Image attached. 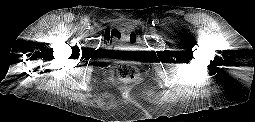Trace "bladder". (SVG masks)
I'll return each mask as SVG.
<instances>
[{
    "mask_svg": "<svg viewBox=\"0 0 255 122\" xmlns=\"http://www.w3.org/2000/svg\"><path fill=\"white\" fill-rule=\"evenodd\" d=\"M111 39H113L115 43H128L135 45L137 43V34L132 27L126 25L116 28L114 30V34L111 36Z\"/></svg>",
    "mask_w": 255,
    "mask_h": 122,
    "instance_id": "31cf9c89",
    "label": "bladder"
}]
</instances>
